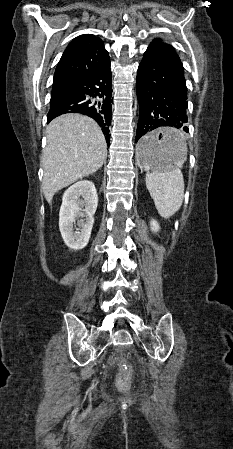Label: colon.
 Returning a JSON list of instances; mask_svg holds the SVG:
<instances>
[{
	"mask_svg": "<svg viewBox=\"0 0 233 449\" xmlns=\"http://www.w3.org/2000/svg\"><path fill=\"white\" fill-rule=\"evenodd\" d=\"M131 374L129 371H122L117 378V389L121 393H129L131 391Z\"/></svg>",
	"mask_w": 233,
	"mask_h": 449,
	"instance_id": "1",
	"label": "colon"
}]
</instances>
